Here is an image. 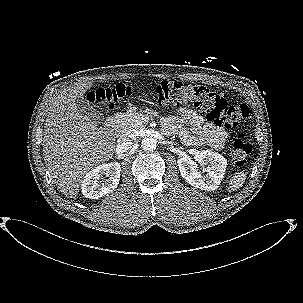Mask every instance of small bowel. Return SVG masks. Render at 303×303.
<instances>
[{
	"instance_id": "c3829d8e",
	"label": "small bowel",
	"mask_w": 303,
	"mask_h": 303,
	"mask_svg": "<svg viewBox=\"0 0 303 303\" xmlns=\"http://www.w3.org/2000/svg\"><path fill=\"white\" fill-rule=\"evenodd\" d=\"M163 124L168 134H178L187 145H209L221 149L227 138L222 127L205 122L199 113L189 108L178 109L175 115L165 118ZM187 125L190 129L186 128Z\"/></svg>"
}]
</instances>
